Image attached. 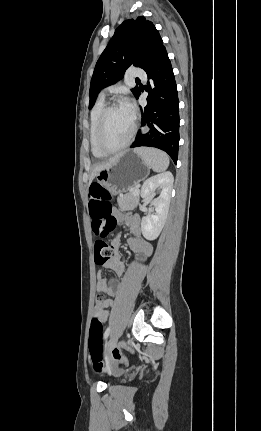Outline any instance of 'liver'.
<instances>
[{"label":"liver","mask_w":261,"mask_h":431,"mask_svg":"<svg viewBox=\"0 0 261 431\" xmlns=\"http://www.w3.org/2000/svg\"><path fill=\"white\" fill-rule=\"evenodd\" d=\"M123 153H120L116 156H114L113 158L109 159L108 161L104 162V163H100L98 165H96L93 169L92 175L90 177L89 183H92L93 179L96 177V175L102 171L103 169L107 168L108 166L112 165L113 163H115L118 158L122 155Z\"/></svg>","instance_id":"liver-1"}]
</instances>
